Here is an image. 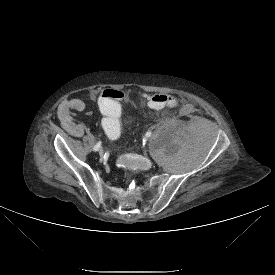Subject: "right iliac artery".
Returning <instances> with one entry per match:
<instances>
[{
	"label": "right iliac artery",
	"mask_w": 275,
	"mask_h": 275,
	"mask_svg": "<svg viewBox=\"0 0 275 275\" xmlns=\"http://www.w3.org/2000/svg\"><path fill=\"white\" fill-rule=\"evenodd\" d=\"M101 147V142L99 141L93 148L94 151H98Z\"/></svg>",
	"instance_id": "1"
}]
</instances>
